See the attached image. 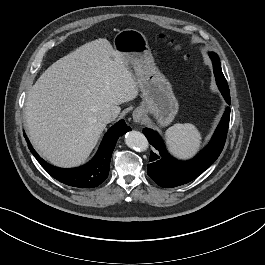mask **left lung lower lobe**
Here are the masks:
<instances>
[{"instance_id": "left-lung-lower-lobe-1", "label": "left lung lower lobe", "mask_w": 265, "mask_h": 265, "mask_svg": "<svg viewBox=\"0 0 265 265\" xmlns=\"http://www.w3.org/2000/svg\"><path fill=\"white\" fill-rule=\"evenodd\" d=\"M212 63L217 85L226 102L230 104L229 89H225L219 79L218 67L220 63L214 61ZM229 120L230 109L227 107L208 146L193 160L187 162L178 161L170 157L164 148L160 136L155 131L145 128L143 133L150 144L158 150V152H151L150 154L148 175L159 186L164 188L180 186L194 180L213 164L222 152L227 137Z\"/></svg>"}]
</instances>
